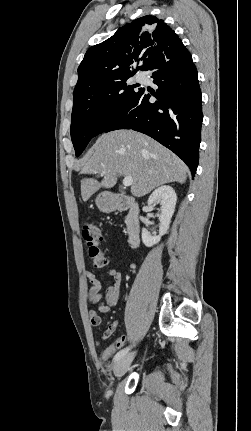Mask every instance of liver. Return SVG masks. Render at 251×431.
Listing matches in <instances>:
<instances>
[{
    "label": "liver",
    "mask_w": 251,
    "mask_h": 431,
    "mask_svg": "<svg viewBox=\"0 0 251 431\" xmlns=\"http://www.w3.org/2000/svg\"><path fill=\"white\" fill-rule=\"evenodd\" d=\"M101 174V182L81 180V196L87 201L100 188L115 186L118 176L133 179L131 193L142 197L166 183H184L188 168L169 149L154 139L132 130L102 134L83 159L81 174Z\"/></svg>",
    "instance_id": "6515ba94"
}]
</instances>
